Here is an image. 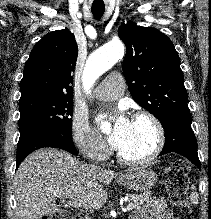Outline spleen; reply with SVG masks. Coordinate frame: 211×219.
Listing matches in <instances>:
<instances>
[{"instance_id": "1", "label": "spleen", "mask_w": 211, "mask_h": 219, "mask_svg": "<svg viewBox=\"0 0 211 219\" xmlns=\"http://www.w3.org/2000/svg\"><path fill=\"white\" fill-rule=\"evenodd\" d=\"M192 189L195 190V191L191 193V195H190V201H191V203H192L193 205H197V204H198V198H199V196H198V194H197V192H196V188H195L194 185H192Z\"/></svg>"}]
</instances>
